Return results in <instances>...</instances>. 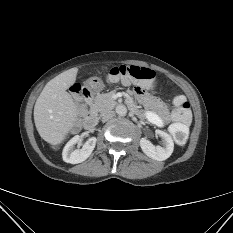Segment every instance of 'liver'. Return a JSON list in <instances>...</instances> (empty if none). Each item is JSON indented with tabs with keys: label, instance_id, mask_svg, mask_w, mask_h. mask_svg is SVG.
Listing matches in <instances>:
<instances>
[{
	"label": "liver",
	"instance_id": "liver-1",
	"mask_svg": "<svg viewBox=\"0 0 233 233\" xmlns=\"http://www.w3.org/2000/svg\"><path fill=\"white\" fill-rule=\"evenodd\" d=\"M78 68H71L50 80L34 106V122L40 137L51 145L63 142L75 126L79 111L67 92L77 77Z\"/></svg>",
	"mask_w": 233,
	"mask_h": 233
}]
</instances>
